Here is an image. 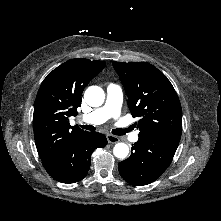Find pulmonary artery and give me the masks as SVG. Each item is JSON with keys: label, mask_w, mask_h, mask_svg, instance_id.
I'll return each instance as SVG.
<instances>
[{"label": "pulmonary artery", "mask_w": 221, "mask_h": 221, "mask_svg": "<svg viewBox=\"0 0 221 221\" xmlns=\"http://www.w3.org/2000/svg\"><path fill=\"white\" fill-rule=\"evenodd\" d=\"M122 88L117 84H109L105 104L82 117V121L89 124H102L110 118H118L121 112ZM131 140L136 142L138 134L134 133Z\"/></svg>", "instance_id": "e3ab8cb5"}]
</instances>
